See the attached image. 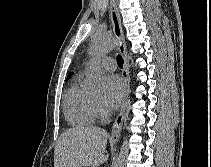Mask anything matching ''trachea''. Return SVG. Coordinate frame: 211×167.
Listing matches in <instances>:
<instances>
[{
    "label": "trachea",
    "mask_w": 211,
    "mask_h": 167,
    "mask_svg": "<svg viewBox=\"0 0 211 167\" xmlns=\"http://www.w3.org/2000/svg\"><path fill=\"white\" fill-rule=\"evenodd\" d=\"M117 63L120 68H123L124 60L121 55H117Z\"/></svg>",
    "instance_id": "obj_1"
}]
</instances>
